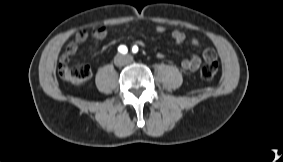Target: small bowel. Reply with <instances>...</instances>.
<instances>
[{"label":"small bowel","instance_id":"small-bowel-1","mask_svg":"<svg viewBox=\"0 0 283 162\" xmlns=\"http://www.w3.org/2000/svg\"><path fill=\"white\" fill-rule=\"evenodd\" d=\"M155 30H156L157 33H160V34H163L166 31L165 27H163L162 25H157L155 27ZM106 35H107V30H106L105 27H99V28L95 29L92 33V37L94 39H97V40L105 38ZM170 35H171L172 40L175 43H178V44L182 43V42H184L185 40L188 39V36L185 33L181 32L179 30L171 31ZM87 38H88L87 32L79 31L75 35L73 41H71L68 44L66 51L61 56L60 62H68L77 52L79 45L81 43H83L84 41H86ZM190 41H191L192 45H194L195 47H198V48L202 47V43L199 39L191 38ZM136 43L139 44V45H143V42H141V41H137ZM210 52L213 53L216 56L214 51H212L210 49H206L203 52V60H205L207 53H210ZM157 57L162 58L163 54L158 53ZM201 62H202L201 56L198 55V54H193L189 58L183 59L180 62V67L186 72L193 73V72L198 70V68L201 65Z\"/></svg>","mask_w":283,"mask_h":162}]
</instances>
